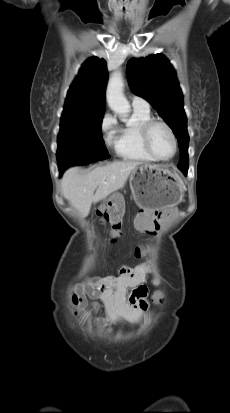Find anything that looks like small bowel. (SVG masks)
Here are the masks:
<instances>
[{"label": "small bowel", "mask_w": 230, "mask_h": 413, "mask_svg": "<svg viewBox=\"0 0 230 413\" xmlns=\"http://www.w3.org/2000/svg\"><path fill=\"white\" fill-rule=\"evenodd\" d=\"M179 212L178 205H166L164 209H138L134 227H140L141 231H161L169 224L166 218H174ZM151 272L153 267L143 263L136 267L122 266L117 275L95 281L87 280L74 289L72 304L100 328H106L110 324L137 325L148 309V288L144 282ZM152 284H159L157 276L153 278ZM129 288L132 291L126 298ZM157 296L161 297L159 291L153 295L156 301ZM98 300L104 304L106 314L105 317L92 318L91 313L100 308Z\"/></svg>", "instance_id": "1"}]
</instances>
